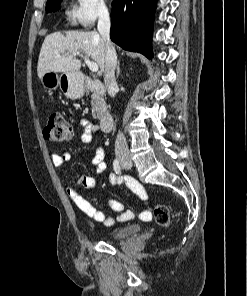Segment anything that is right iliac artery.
Here are the masks:
<instances>
[{
	"label": "right iliac artery",
	"instance_id": "82829eb1",
	"mask_svg": "<svg viewBox=\"0 0 247 296\" xmlns=\"http://www.w3.org/2000/svg\"><path fill=\"white\" fill-rule=\"evenodd\" d=\"M113 169L117 174H121V166L119 164V161L117 159L113 162Z\"/></svg>",
	"mask_w": 247,
	"mask_h": 296
}]
</instances>
